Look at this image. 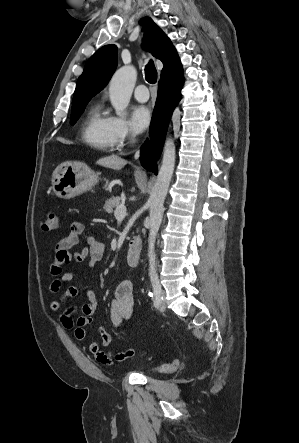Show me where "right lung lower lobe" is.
Instances as JSON below:
<instances>
[{
  "label": "right lung lower lobe",
  "instance_id": "right-lung-lower-lobe-1",
  "mask_svg": "<svg viewBox=\"0 0 299 443\" xmlns=\"http://www.w3.org/2000/svg\"><path fill=\"white\" fill-rule=\"evenodd\" d=\"M183 72L168 77H161L158 86V97L150 125V139L142 146V165L157 174L155 162L158 159L164 143L167 127L175 106L178 104L184 78ZM148 154L147 159H143Z\"/></svg>",
  "mask_w": 299,
  "mask_h": 443
}]
</instances>
